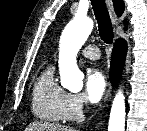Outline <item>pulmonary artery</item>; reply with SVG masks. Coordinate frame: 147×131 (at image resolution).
<instances>
[{
    "mask_svg": "<svg viewBox=\"0 0 147 131\" xmlns=\"http://www.w3.org/2000/svg\"><path fill=\"white\" fill-rule=\"evenodd\" d=\"M82 56L90 60H96L100 57V50L95 45H88L81 51Z\"/></svg>",
    "mask_w": 147,
    "mask_h": 131,
    "instance_id": "e3ab8cb5",
    "label": "pulmonary artery"
}]
</instances>
